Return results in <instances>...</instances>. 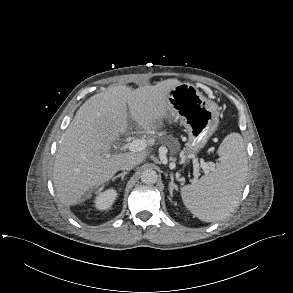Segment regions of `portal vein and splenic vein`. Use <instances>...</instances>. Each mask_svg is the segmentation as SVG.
Listing matches in <instances>:
<instances>
[{"instance_id": "obj_1", "label": "portal vein and splenic vein", "mask_w": 293, "mask_h": 293, "mask_svg": "<svg viewBox=\"0 0 293 293\" xmlns=\"http://www.w3.org/2000/svg\"><path fill=\"white\" fill-rule=\"evenodd\" d=\"M127 148L130 151L136 152V151H143L146 148V142L144 140H140V139H136L133 140L131 142H129L127 144ZM209 165H211V163H206L201 161L200 162V166L201 168L204 170V172L207 174L209 172ZM170 168H174V164L171 163V167ZM199 163L197 160H194V176L198 177L199 176Z\"/></svg>"}]
</instances>
